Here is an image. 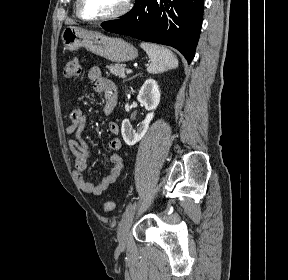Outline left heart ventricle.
Listing matches in <instances>:
<instances>
[{"mask_svg":"<svg viewBox=\"0 0 288 280\" xmlns=\"http://www.w3.org/2000/svg\"><path fill=\"white\" fill-rule=\"evenodd\" d=\"M125 0H82L81 8L85 16L103 17L118 11Z\"/></svg>","mask_w":288,"mask_h":280,"instance_id":"1","label":"left heart ventricle"}]
</instances>
